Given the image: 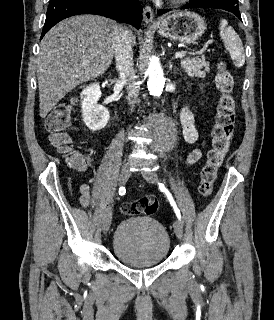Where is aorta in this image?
<instances>
[{
    "label": "aorta",
    "mask_w": 274,
    "mask_h": 320,
    "mask_svg": "<svg viewBox=\"0 0 274 320\" xmlns=\"http://www.w3.org/2000/svg\"><path fill=\"white\" fill-rule=\"evenodd\" d=\"M148 90L150 95L160 97L165 85L163 69L158 60L152 59L149 62L148 69ZM151 127V136L154 140L153 148L162 151L170 148L175 139V125L162 114H154L149 119Z\"/></svg>",
    "instance_id": "1"
}]
</instances>
